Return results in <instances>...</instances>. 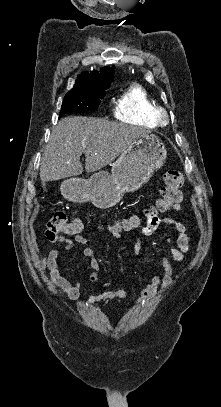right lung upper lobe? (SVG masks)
<instances>
[{"instance_id":"1","label":"right lung upper lobe","mask_w":221,"mask_h":407,"mask_svg":"<svg viewBox=\"0 0 221 407\" xmlns=\"http://www.w3.org/2000/svg\"><path fill=\"white\" fill-rule=\"evenodd\" d=\"M114 67H105L101 73L92 71L81 73L76 80V84L71 91H96L109 88L114 79ZM110 72V74H108Z\"/></svg>"}]
</instances>
